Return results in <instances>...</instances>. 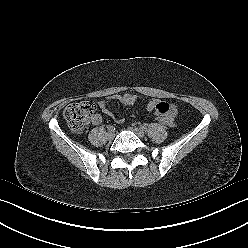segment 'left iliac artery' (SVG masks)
<instances>
[{
	"mask_svg": "<svg viewBox=\"0 0 248 248\" xmlns=\"http://www.w3.org/2000/svg\"><path fill=\"white\" fill-rule=\"evenodd\" d=\"M140 128H141L142 130H145V131H146V130H147V125H146V124L141 125Z\"/></svg>",
	"mask_w": 248,
	"mask_h": 248,
	"instance_id": "left-iliac-artery-1",
	"label": "left iliac artery"
}]
</instances>
